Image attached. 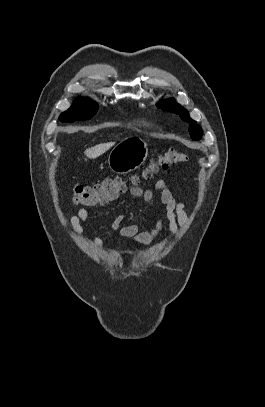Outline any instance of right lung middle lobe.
I'll use <instances>...</instances> for the list:
<instances>
[{
	"label": "right lung middle lobe",
	"instance_id": "obj_1",
	"mask_svg": "<svg viewBox=\"0 0 265 407\" xmlns=\"http://www.w3.org/2000/svg\"><path fill=\"white\" fill-rule=\"evenodd\" d=\"M98 111V105L90 100L79 98L74 101L70 109L61 113L59 120L62 122H74L76 120H88Z\"/></svg>",
	"mask_w": 265,
	"mask_h": 407
}]
</instances>
